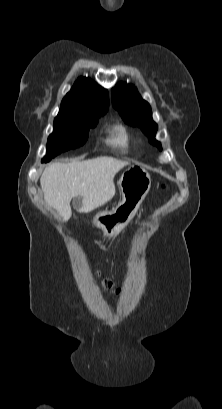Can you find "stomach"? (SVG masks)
<instances>
[{
    "label": "stomach",
    "mask_w": 222,
    "mask_h": 409,
    "mask_svg": "<svg viewBox=\"0 0 222 409\" xmlns=\"http://www.w3.org/2000/svg\"><path fill=\"white\" fill-rule=\"evenodd\" d=\"M121 202L109 213L101 214L95 223L108 234L122 229L135 216L151 187V176L139 166L126 169L119 179Z\"/></svg>",
    "instance_id": "obj_1"
}]
</instances>
